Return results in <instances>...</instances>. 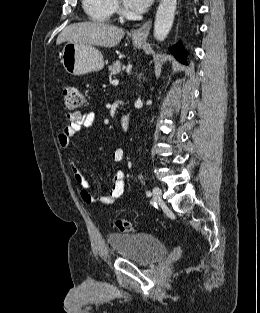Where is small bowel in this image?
Wrapping results in <instances>:
<instances>
[{
    "instance_id": "small-bowel-1",
    "label": "small bowel",
    "mask_w": 260,
    "mask_h": 313,
    "mask_svg": "<svg viewBox=\"0 0 260 313\" xmlns=\"http://www.w3.org/2000/svg\"><path fill=\"white\" fill-rule=\"evenodd\" d=\"M68 124L57 136L58 145L61 148H68L71 139L83 129L92 127L96 123V115L93 112H72L67 115ZM125 152L123 149H116L111 153V160L120 163L124 160ZM70 168L75 182L80 186V196L84 203L88 205L102 204L110 205L115 203L125 191V174L118 172L114 179L111 191L108 195L96 198L91 190L89 183L81 173L79 167L73 159H70Z\"/></svg>"
}]
</instances>
